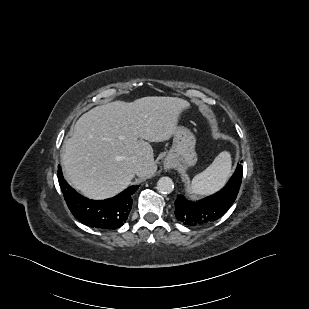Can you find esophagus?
<instances>
[{"instance_id":"34e87169","label":"esophagus","mask_w":309,"mask_h":309,"mask_svg":"<svg viewBox=\"0 0 309 309\" xmlns=\"http://www.w3.org/2000/svg\"><path fill=\"white\" fill-rule=\"evenodd\" d=\"M165 167H166L167 169H169V168H171V167H172V165H171V163H170V162H166V163H165Z\"/></svg>"}]
</instances>
